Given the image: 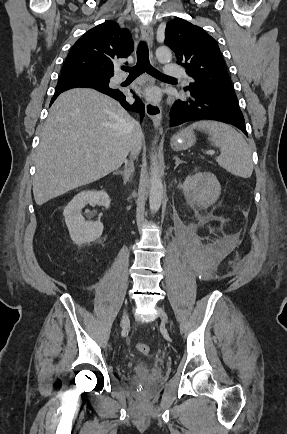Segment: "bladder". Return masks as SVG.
Segmentation results:
<instances>
[{
  "mask_svg": "<svg viewBox=\"0 0 287 434\" xmlns=\"http://www.w3.org/2000/svg\"><path fill=\"white\" fill-rule=\"evenodd\" d=\"M132 371L135 374H146L150 371V365L147 361L140 360L132 366Z\"/></svg>",
  "mask_w": 287,
  "mask_h": 434,
  "instance_id": "bladder-1",
  "label": "bladder"
}]
</instances>
